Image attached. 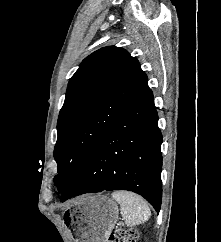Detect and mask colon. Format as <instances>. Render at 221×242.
Here are the masks:
<instances>
[{
    "instance_id": "1",
    "label": "colon",
    "mask_w": 221,
    "mask_h": 242,
    "mask_svg": "<svg viewBox=\"0 0 221 242\" xmlns=\"http://www.w3.org/2000/svg\"><path fill=\"white\" fill-rule=\"evenodd\" d=\"M138 233L135 230L114 229L108 237V242H137Z\"/></svg>"
}]
</instances>
